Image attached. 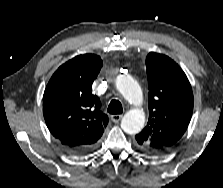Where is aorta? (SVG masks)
<instances>
[{
    "label": "aorta",
    "instance_id": "762f6f07",
    "mask_svg": "<svg viewBox=\"0 0 223 188\" xmlns=\"http://www.w3.org/2000/svg\"><path fill=\"white\" fill-rule=\"evenodd\" d=\"M116 87L124 99L131 104L140 105L143 100L141 87L130 75H119L116 78ZM145 123L144 111L140 108L129 110L121 121V128L127 134L139 133Z\"/></svg>",
    "mask_w": 223,
    "mask_h": 188
}]
</instances>
